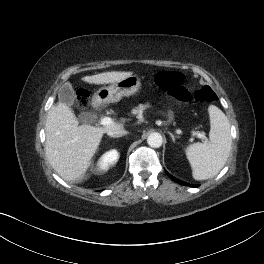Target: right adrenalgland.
Masks as SVG:
<instances>
[{"instance_id":"right-adrenal-gland-1","label":"right adrenal gland","mask_w":264,"mask_h":264,"mask_svg":"<svg viewBox=\"0 0 264 264\" xmlns=\"http://www.w3.org/2000/svg\"><path fill=\"white\" fill-rule=\"evenodd\" d=\"M123 135H118V136H113V137H110V138H120L122 137Z\"/></svg>"}]
</instances>
